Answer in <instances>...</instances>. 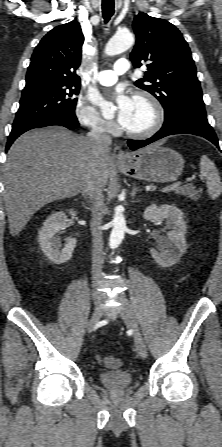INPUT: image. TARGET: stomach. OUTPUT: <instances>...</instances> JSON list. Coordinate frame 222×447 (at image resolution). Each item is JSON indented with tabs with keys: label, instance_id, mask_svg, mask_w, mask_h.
<instances>
[{
	"label": "stomach",
	"instance_id": "obj_1",
	"mask_svg": "<svg viewBox=\"0 0 222 447\" xmlns=\"http://www.w3.org/2000/svg\"><path fill=\"white\" fill-rule=\"evenodd\" d=\"M117 166L122 173L135 179L169 182L182 173L184 159L173 149L152 144L128 154Z\"/></svg>",
	"mask_w": 222,
	"mask_h": 447
}]
</instances>
